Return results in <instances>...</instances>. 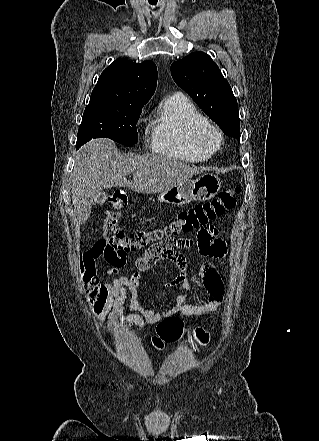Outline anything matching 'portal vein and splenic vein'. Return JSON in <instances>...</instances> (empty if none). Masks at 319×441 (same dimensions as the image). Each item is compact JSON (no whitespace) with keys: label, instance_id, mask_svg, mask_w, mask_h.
<instances>
[{"label":"portal vein and splenic vein","instance_id":"portal-vein-and-splenic-vein-1","mask_svg":"<svg viewBox=\"0 0 319 441\" xmlns=\"http://www.w3.org/2000/svg\"><path fill=\"white\" fill-rule=\"evenodd\" d=\"M137 175L140 176L141 174H140V173H137Z\"/></svg>","mask_w":319,"mask_h":441}]
</instances>
